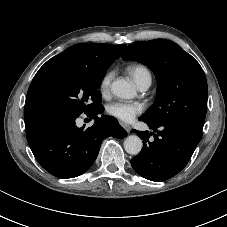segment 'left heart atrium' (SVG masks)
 Segmentation results:
<instances>
[{
  "mask_svg": "<svg viewBox=\"0 0 227 227\" xmlns=\"http://www.w3.org/2000/svg\"><path fill=\"white\" fill-rule=\"evenodd\" d=\"M143 110L140 103L115 101L107 105L106 111L110 116H113L123 122L132 121Z\"/></svg>",
  "mask_w": 227,
  "mask_h": 227,
  "instance_id": "obj_1",
  "label": "left heart atrium"
}]
</instances>
